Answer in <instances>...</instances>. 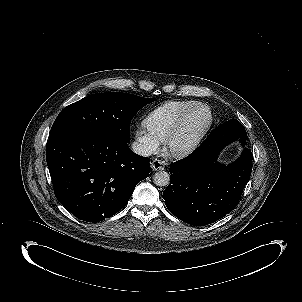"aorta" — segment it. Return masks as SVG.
<instances>
[{
	"label": "aorta",
	"mask_w": 302,
	"mask_h": 302,
	"mask_svg": "<svg viewBox=\"0 0 302 302\" xmlns=\"http://www.w3.org/2000/svg\"><path fill=\"white\" fill-rule=\"evenodd\" d=\"M153 182L156 186H167L170 183V175L166 171H158L153 176Z\"/></svg>",
	"instance_id": "1"
}]
</instances>
